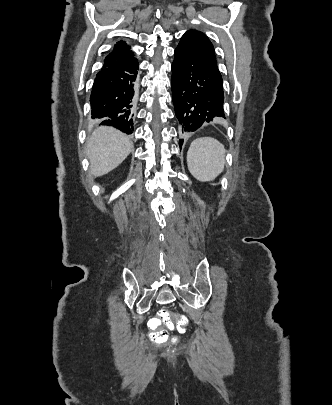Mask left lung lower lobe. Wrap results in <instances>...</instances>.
Returning <instances> with one entry per match:
<instances>
[{
    "instance_id": "1",
    "label": "left lung lower lobe",
    "mask_w": 332,
    "mask_h": 405,
    "mask_svg": "<svg viewBox=\"0 0 332 405\" xmlns=\"http://www.w3.org/2000/svg\"><path fill=\"white\" fill-rule=\"evenodd\" d=\"M171 85L182 135L224 117V91L218 68L182 45L174 51ZM182 143L180 139V148Z\"/></svg>"
}]
</instances>
